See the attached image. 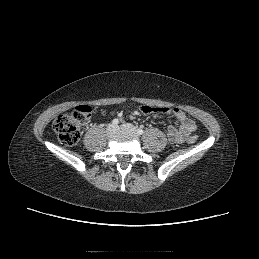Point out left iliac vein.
I'll use <instances>...</instances> for the list:
<instances>
[{
    "label": "left iliac vein",
    "instance_id": "left-iliac-vein-1",
    "mask_svg": "<svg viewBox=\"0 0 259 259\" xmlns=\"http://www.w3.org/2000/svg\"><path fill=\"white\" fill-rule=\"evenodd\" d=\"M120 128L123 131H128V132L133 133L134 135H138L136 128L132 124L125 123V124H122Z\"/></svg>",
    "mask_w": 259,
    "mask_h": 259
}]
</instances>
